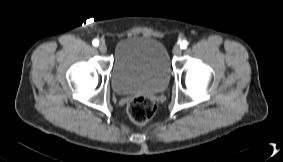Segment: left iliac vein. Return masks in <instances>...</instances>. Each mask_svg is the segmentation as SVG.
Segmentation results:
<instances>
[{"instance_id": "1", "label": "left iliac vein", "mask_w": 283, "mask_h": 162, "mask_svg": "<svg viewBox=\"0 0 283 162\" xmlns=\"http://www.w3.org/2000/svg\"><path fill=\"white\" fill-rule=\"evenodd\" d=\"M172 52H173V54H174L175 56L181 55V53H182V48H181V46L175 45Z\"/></svg>"}]
</instances>
